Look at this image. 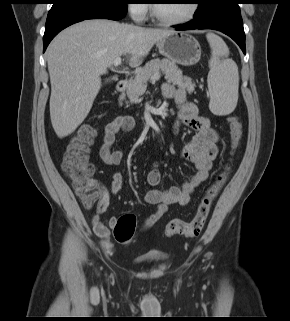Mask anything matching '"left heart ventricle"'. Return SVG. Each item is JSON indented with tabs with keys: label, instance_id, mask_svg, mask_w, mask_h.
Here are the masks:
<instances>
[{
	"label": "left heart ventricle",
	"instance_id": "obj_1",
	"mask_svg": "<svg viewBox=\"0 0 290 321\" xmlns=\"http://www.w3.org/2000/svg\"><path fill=\"white\" fill-rule=\"evenodd\" d=\"M155 5L158 15L169 20L183 18L191 9L190 0H158Z\"/></svg>",
	"mask_w": 290,
	"mask_h": 321
}]
</instances>
